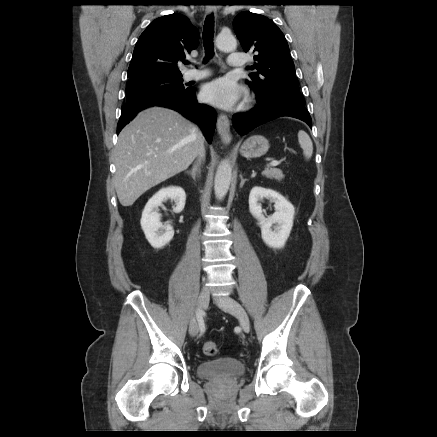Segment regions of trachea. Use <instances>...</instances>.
Returning <instances> with one entry per match:
<instances>
[{
	"label": "trachea",
	"mask_w": 437,
	"mask_h": 437,
	"mask_svg": "<svg viewBox=\"0 0 437 437\" xmlns=\"http://www.w3.org/2000/svg\"><path fill=\"white\" fill-rule=\"evenodd\" d=\"M213 37H214V15L210 14L206 17L203 27V43H204L205 55H206L204 62H207L214 55Z\"/></svg>",
	"instance_id": "1"
}]
</instances>
